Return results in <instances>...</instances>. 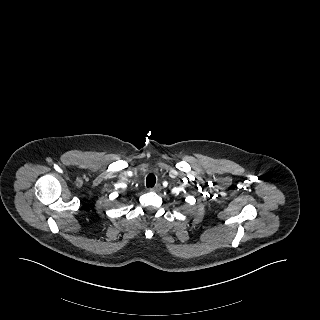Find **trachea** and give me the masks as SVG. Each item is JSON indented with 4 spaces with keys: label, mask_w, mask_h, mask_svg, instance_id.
Here are the masks:
<instances>
[{
    "label": "trachea",
    "mask_w": 320,
    "mask_h": 320,
    "mask_svg": "<svg viewBox=\"0 0 320 320\" xmlns=\"http://www.w3.org/2000/svg\"><path fill=\"white\" fill-rule=\"evenodd\" d=\"M156 183V177L154 174H149L146 178V186L153 187Z\"/></svg>",
    "instance_id": "trachea-1"
}]
</instances>
